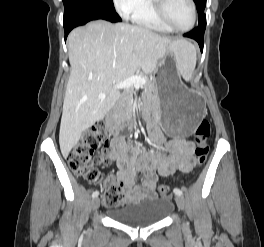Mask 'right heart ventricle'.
Instances as JSON below:
<instances>
[{
  "instance_id": "1",
  "label": "right heart ventricle",
  "mask_w": 264,
  "mask_h": 247,
  "mask_svg": "<svg viewBox=\"0 0 264 247\" xmlns=\"http://www.w3.org/2000/svg\"><path fill=\"white\" fill-rule=\"evenodd\" d=\"M131 20L143 27L162 33H170L166 27L154 14L151 0H141L137 8L130 15Z\"/></svg>"
}]
</instances>
